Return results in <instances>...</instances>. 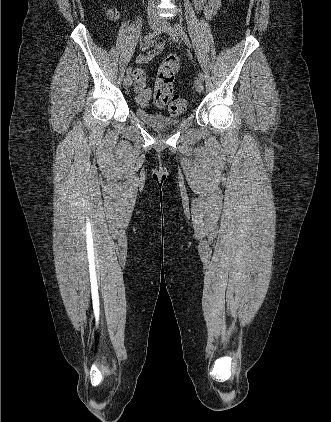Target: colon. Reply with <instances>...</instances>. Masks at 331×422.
I'll return each mask as SVG.
<instances>
[{"instance_id": "1", "label": "colon", "mask_w": 331, "mask_h": 422, "mask_svg": "<svg viewBox=\"0 0 331 422\" xmlns=\"http://www.w3.org/2000/svg\"><path fill=\"white\" fill-rule=\"evenodd\" d=\"M113 17V13L109 14ZM180 61L176 55L167 56L161 63L156 80V88L154 93V102L158 107H163L169 103V112L172 115H178L186 110L187 103L185 99L178 95L173 96V83L176 74L179 71ZM136 78L145 76L141 70H136L134 73ZM142 104L149 102L150 98L141 96Z\"/></svg>"}]
</instances>
